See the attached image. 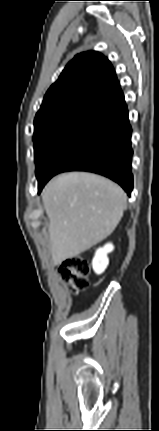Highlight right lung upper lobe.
<instances>
[{"label":"right lung upper lobe","instance_id":"obj_1","mask_svg":"<svg viewBox=\"0 0 159 431\" xmlns=\"http://www.w3.org/2000/svg\"><path fill=\"white\" fill-rule=\"evenodd\" d=\"M125 102L110 61L99 52L78 54L48 89L35 120L69 115L88 120Z\"/></svg>","mask_w":159,"mask_h":431}]
</instances>
